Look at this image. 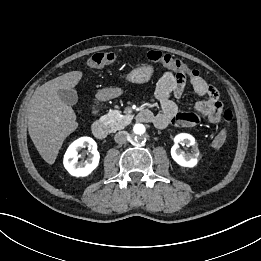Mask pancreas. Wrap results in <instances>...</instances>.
<instances>
[{
	"instance_id": "cf45deb5",
	"label": "pancreas",
	"mask_w": 261,
	"mask_h": 261,
	"mask_svg": "<svg viewBox=\"0 0 261 261\" xmlns=\"http://www.w3.org/2000/svg\"><path fill=\"white\" fill-rule=\"evenodd\" d=\"M104 118L106 124L111 128L112 131L123 129L131 121V117H129L128 115H122L119 110H110L104 116Z\"/></svg>"
}]
</instances>
